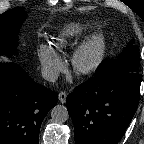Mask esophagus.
<instances>
[{"label": "esophagus", "mask_w": 144, "mask_h": 144, "mask_svg": "<svg viewBox=\"0 0 144 144\" xmlns=\"http://www.w3.org/2000/svg\"><path fill=\"white\" fill-rule=\"evenodd\" d=\"M59 101L61 103H65L66 102V98H67V93L66 92H60L58 95Z\"/></svg>", "instance_id": "34e87169"}]
</instances>
